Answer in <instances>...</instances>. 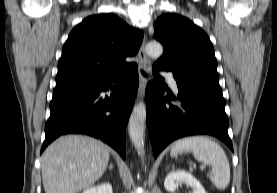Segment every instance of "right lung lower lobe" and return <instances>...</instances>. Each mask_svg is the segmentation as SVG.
Returning <instances> with one entry per match:
<instances>
[{
  "mask_svg": "<svg viewBox=\"0 0 277 193\" xmlns=\"http://www.w3.org/2000/svg\"><path fill=\"white\" fill-rule=\"evenodd\" d=\"M109 90L110 97L100 96ZM137 90L135 64L102 79L56 86L40 153L60 135L80 133L103 140L125 159L126 124Z\"/></svg>",
  "mask_w": 277,
  "mask_h": 193,
  "instance_id": "obj_1",
  "label": "right lung lower lobe"
}]
</instances>
